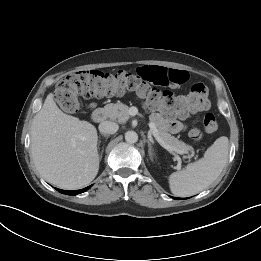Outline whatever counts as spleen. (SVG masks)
<instances>
[{
  "mask_svg": "<svg viewBox=\"0 0 261 261\" xmlns=\"http://www.w3.org/2000/svg\"><path fill=\"white\" fill-rule=\"evenodd\" d=\"M229 154V140L219 137L206 150L204 157L169 176L171 192L180 197L195 195L209 187L220 175Z\"/></svg>",
  "mask_w": 261,
  "mask_h": 261,
  "instance_id": "1",
  "label": "spleen"
}]
</instances>
